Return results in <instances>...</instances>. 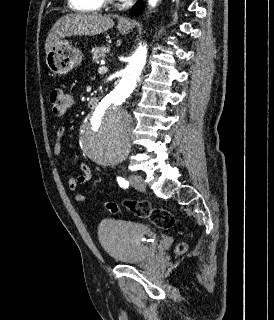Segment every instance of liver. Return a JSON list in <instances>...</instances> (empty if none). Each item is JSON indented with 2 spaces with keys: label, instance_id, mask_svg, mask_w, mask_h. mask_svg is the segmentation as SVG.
Returning a JSON list of instances; mask_svg holds the SVG:
<instances>
[{
  "label": "liver",
  "instance_id": "1",
  "mask_svg": "<svg viewBox=\"0 0 274 320\" xmlns=\"http://www.w3.org/2000/svg\"><path fill=\"white\" fill-rule=\"evenodd\" d=\"M114 22L110 16L102 14H66L55 22L51 28L45 44V54L50 48L57 46L66 36H97L113 28Z\"/></svg>",
  "mask_w": 274,
  "mask_h": 320
}]
</instances>
